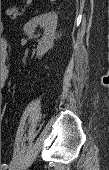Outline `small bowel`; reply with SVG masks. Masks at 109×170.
I'll return each mask as SVG.
<instances>
[{
	"instance_id": "c3829d8e",
	"label": "small bowel",
	"mask_w": 109,
	"mask_h": 170,
	"mask_svg": "<svg viewBox=\"0 0 109 170\" xmlns=\"http://www.w3.org/2000/svg\"><path fill=\"white\" fill-rule=\"evenodd\" d=\"M2 47H6V42L4 40L1 41ZM7 77V71L4 69L1 74V82H4Z\"/></svg>"
}]
</instances>
